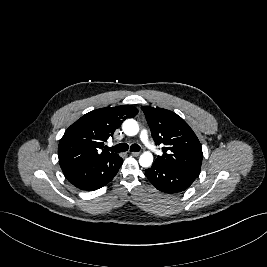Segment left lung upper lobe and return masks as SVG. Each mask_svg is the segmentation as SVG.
Here are the masks:
<instances>
[{
    "instance_id": "obj_1",
    "label": "left lung upper lobe",
    "mask_w": 267,
    "mask_h": 267,
    "mask_svg": "<svg viewBox=\"0 0 267 267\" xmlns=\"http://www.w3.org/2000/svg\"><path fill=\"white\" fill-rule=\"evenodd\" d=\"M151 130L152 138L163 145V155L155 163L181 173L198 177L202 164V148L193 130L177 114L163 108H141Z\"/></svg>"
}]
</instances>
